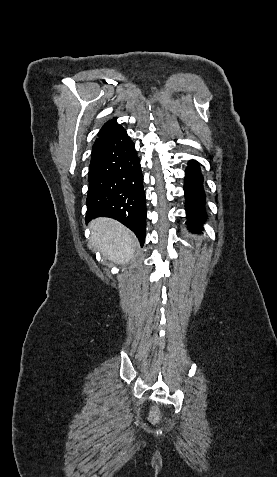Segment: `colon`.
<instances>
[{"label": "colon", "instance_id": "5ec220e1", "mask_svg": "<svg viewBox=\"0 0 277 477\" xmlns=\"http://www.w3.org/2000/svg\"><path fill=\"white\" fill-rule=\"evenodd\" d=\"M150 420L153 422V423H156L158 420H159V414L156 410H152L151 413H150Z\"/></svg>", "mask_w": 277, "mask_h": 477}]
</instances>
